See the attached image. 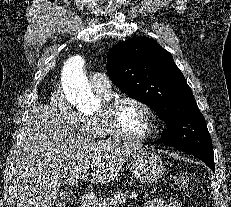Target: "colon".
<instances>
[{
  "label": "colon",
  "mask_w": 231,
  "mask_h": 207,
  "mask_svg": "<svg viewBox=\"0 0 231 207\" xmlns=\"http://www.w3.org/2000/svg\"><path fill=\"white\" fill-rule=\"evenodd\" d=\"M175 182L179 189L181 190H188L191 187V180L186 175H177L175 176ZM201 207V206H198Z\"/></svg>",
  "instance_id": "1"
}]
</instances>
